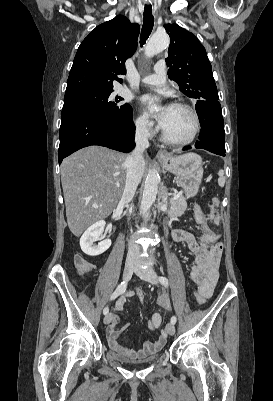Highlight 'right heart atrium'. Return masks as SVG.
Masks as SVG:
<instances>
[{
	"instance_id": "1",
	"label": "right heart atrium",
	"mask_w": 273,
	"mask_h": 401,
	"mask_svg": "<svg viewBox=\"0 0 273 401\" xmlns=\"http://www.w3.org/2000/svg\"><path fill=\"white\" fill-rule=\"evenodd\" d=\"M136 132L143 138H150L155 134V127L145 115H139L134 122Z\"/></svg>"
}]
</instances>
